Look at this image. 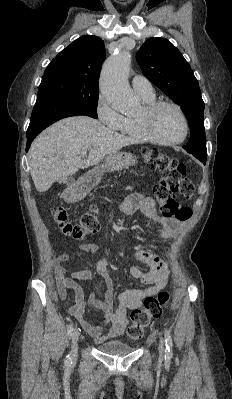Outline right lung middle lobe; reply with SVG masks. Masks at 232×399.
Returning a JSON list of instances; mask_svg holds the SVG:
<instances>
[{"label": "right lung middle lobe", "mask_w": 232, "mask_h": 399, "mask_svg": "<svg viewBox=\"0 0 232 399\" xmlns=\"http://www.w3.org/2000/svg\"><path fill=\"white\" fill-rule=\"evenodd\" d=\"M98 92L97 86L82 85L64 79H47L41 81L37 96L75 104L97 115Z\"/></svg>", "instance_id": "obj_1"}]
</instances>
